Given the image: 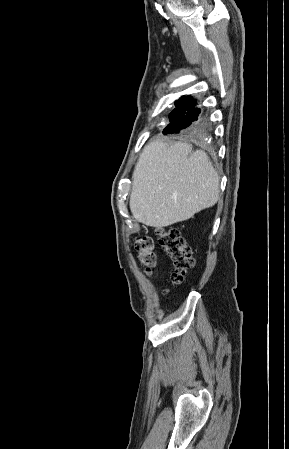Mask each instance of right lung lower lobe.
I'll return each instance as SVG.
<instances>
[{
  "label": "right lung lower lobe",
  "mask_w": 289,
  "mask_h": 449,
  "mask_svg": "<svg viewBox=\"0 0 289 449\" xmlns=\"http://www.w3.org/2000/svg\"><path fill=\"white\" fill-rule=\"evenodd\" d=\"M197 102L191 95L182 96L175 102L176 108L172 111L169 127L170 133L189 135L201 131L206 126V121L196 107Z\"/></svg>",
  "instance_id": "98d812e1"
}]
</instances>
